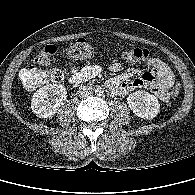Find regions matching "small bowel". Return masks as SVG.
<instances>
[{
    "instance_id": "small-bowel-1",
    "label": "small bowel",
    "mask_w": 195,
    "mask_h": 195,
    "mask_svg": "<svg viewBox=\"0 0 195 195\" xmlns=\"http://www.w3.org/2000/svg\"><path fill=\"white\" fill-rule=\"evenodd\" d=\"M146 64L148 71L131 69L126 73L114 76L107 81L111 95L125 96L137 89L145 88L151 91L161 101L169 100V88L174 82V74L169 66L158 58L150 57ZM113 73L122 71V65L114 62L109 67ZM101 72L98 64H85L82 67L73 66L69 69V81L72 85H80L96 77ZM136 76L132 79V77Z\"/></svg>"
}]
</instances>
